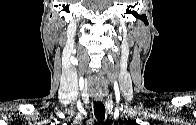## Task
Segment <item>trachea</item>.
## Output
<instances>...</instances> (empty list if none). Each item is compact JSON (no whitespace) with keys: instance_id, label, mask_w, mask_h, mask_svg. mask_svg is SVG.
Listing matches in <instances>:
<instances>
[{"instance_id":"trachea-1","label":"trachea","mask_w":196,"mask_h":125,"mask_svg":"<svg viewBox=\"0 0 196 125\" xmlns=\"http://www.w3.org/2000/svg\"><path fill=\"white\" fill-rule=\"evenodd\" d=\"M94 114L99 123L105 119V107L102 102H94Z\"/></svg>"}]
</instances>
